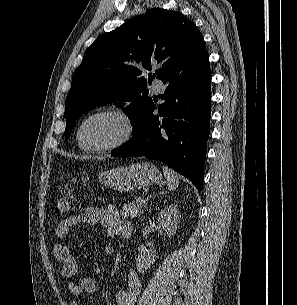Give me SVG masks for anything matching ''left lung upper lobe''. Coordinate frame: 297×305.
Masks as SVG:
<instances>
[{"label":"left lung upper lobe","mask_w":297,"mask_h":305,"mask_svg":"<svg viewBox=\"0 0 297 305\" xmlns=\"http://www.w3.org/2000/svg\"><path fill=\"white\" fill-rule=\"evenodd\" d=\"M153 64L159 69L149 74V82L210 66L202 34L182 13L153 8L100 36L86 50L66 97L65 138L83 113L107 102L126 105L123 111L136 123L152 101L146 96L147 80L136 76Z\"/></svg>","instance_id":"1"}]
</instances>
